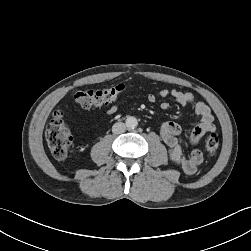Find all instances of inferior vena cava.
<instances>
[{
	"mask_svg": "<svg viewBox=\"0 0 251 251\" xmlns=\"http://www.w3.org/2000/svg\"><path fill=\"white\" fill-rule=\"evenodd\" d=\"M126 130V125L122 122H117L112 126V132L114 134H121L125 132Z\"/></svg>",
	"mask_w": 251,
	"mask_h": 251,
	"instance_id": "inferior-vena-cava-1",
	"label": "inferior vena cava"
}]
</instances>
